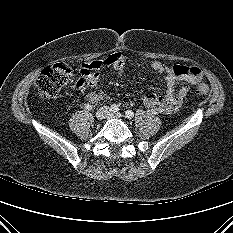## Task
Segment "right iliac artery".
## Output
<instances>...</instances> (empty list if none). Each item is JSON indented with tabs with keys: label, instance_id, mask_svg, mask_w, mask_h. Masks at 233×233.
Returning a JSON list of instances; mask_svg holds the SVG:
<instances>
[{
	"label": "right iliac artery",
	"instance_id": "82829eb1",
	"mask_svg": "<svg viewBox=\"0 0 233 233\" xmlns=\"http://www.w3.org/2000/svg\"><path fill=\"white\" fill-rule=\"evenodd\" d=\"M110 111L113 112V113L118 112L119 111L118 105H116V104L111 105Z\"/></svg>",
	"mask_w": 233,
	"mask_h": 233
}]
</instances>
